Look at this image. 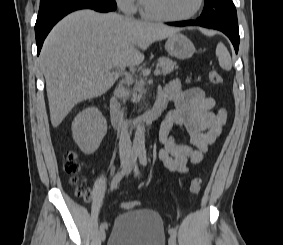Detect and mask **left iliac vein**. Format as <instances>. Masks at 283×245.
Wrapping results in <instances>:
<instances>
[{"label":"left iliac vein","mask_w":283,"mask_h":245,"mask_svg":"<svg viewBox=\"0 0 283 245\" xmlns=\"http://www.w3.org/2000/svg\"><path fill=\"white\" fill-rule=\"evenodd\" d=\"M134 174H135V176H138V175H139V170H138L137 165H135ZM168 244H169V245H177L175 237L170 236V237H169V240H168Z\"/></svg>","instance_id":"1"}]
</instances>
